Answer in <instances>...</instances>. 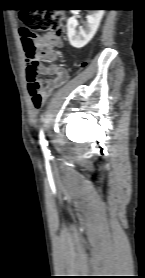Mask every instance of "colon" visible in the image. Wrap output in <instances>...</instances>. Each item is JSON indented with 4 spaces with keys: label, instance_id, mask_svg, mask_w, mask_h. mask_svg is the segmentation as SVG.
Instances as JSON below:
<instances>
[{
    "label": "colon",
    "instance_id": "5ec220e1",
    "mask_svg": "<svg viewBox=\"0 0 145 278\" xmlns=\"http://www.w3.org/2000/svg\"><path fill=\"white\" fill-rule=\"evenodd\" d=\"M20 21L22 28L19 29V35L25 58L29 63L26 69L28 92L32 107L39 110L42 107L44 95L41 92L36 67L41 61L55 62L58 59V53L53 45H40L35 35L37 33L64 34V19L55 13L26 11L21 14Z\"/></svg>",
    "mask_w": 145,
    "mask_h": 278
}]
</instances>
